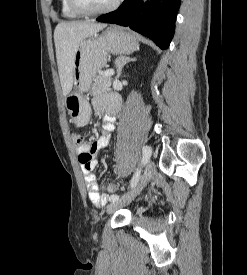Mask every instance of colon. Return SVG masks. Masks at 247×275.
Wrapping results in <instances>:
<instances>
[{
  "instance_id": "colon-1",
  "label": "colon",
  "mask_w": 247,
  "mask_h": 275,
  "mask_svg": "<svg viewBox=\"0 0 247 275\" xmlns=\"http://www.w3.org/2000/svg\"><path fill=\"white\" fill-rule=\"evenodd\" d=\"M72 141H73V144L77 147H80L84 144V137L83 135L79 134V133H74L72 135ZM119 190V185L116 184V183H110L108 186H107V191L108 193H115Z\"/></svg>"
}]
</instances>
